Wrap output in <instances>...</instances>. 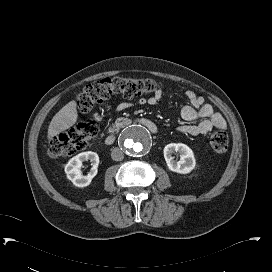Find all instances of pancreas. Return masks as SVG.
Wrapping results in <instances>:
<instances>
[{
    "label": "pancreas",
    "mask_w": 272,
    "mask_h": 272,
    "mask_svg": "<svg viewBox=\"0 0 272 272\" xmlns=\"http://www.w3.org/2000/svg\"><path fill=\"white\" fill-rule=\"evenodd\" d=\"M129 123V120L126 118H119L115 121V124L112 125V127H110L109 131L110 132H115L118 131L120 129V127L124 124Z\"/></svg>",
    "instance_id": "1"
}]
</instances>
